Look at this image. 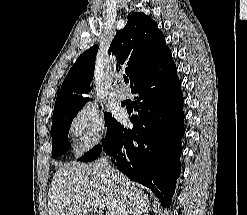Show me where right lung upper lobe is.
<instances>
[{
  "instance_id": "1",
  "label": "right lung upper lobe",
  "mask_w": 247,
  "mask_h": 215,
  "mask_svg": "<svg viewBox=\"0 0 247 215\" xmlns=\"http://www.w3.org/2000/svg\"><path fill=\"white\" fill-rule=\"evenodd\" d=\"M168 50L157 23L143 13L135 12L126 26L117 32L108 52L117 60V69H125L132 87ZM97 51L98 45H94L79 56L62 83L53 114L89 100L82 94L87 93L92 80Z\"/></svg>"
}]
</instances>
